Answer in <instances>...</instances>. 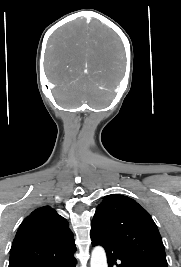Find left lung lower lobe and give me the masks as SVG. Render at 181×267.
<instances>
[{"mask_svg":"<svg viewBox=\"0 0 181 267\" xmlns=\"http://www.w3.org/2000/svg\"><path fill=\"white\" fill-rule=\"evenodd\" d=\"M92 245L93 246L102 245L105 248L109 267H114V266H117V267H152L145 262H142L136 258H133L123 253L121 250H119L114 245L107 244L101 241H96L93 239H92ZM116 261H119L120 264H117Z\"/></svg>","mask_w":181,"mask_h":267,"instance_id":"1","label":"left lung lower lobe"}]
</instances>
